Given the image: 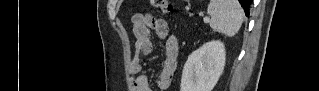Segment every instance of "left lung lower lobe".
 Segmentation results:
<instances>
[{"instance_id":"1","label":"left lung lower lobe","mask_w":319,"mask_h":91,"mask_svg":"<svg viewBox=\"0 0 319 91\" xmlns=\"http://www.w3.org/2000/svg\"><path fill=\"white\" fill-rule=\"evenodd\" d=\"M238 1L242 5V7L244 8L246 16H248L249 15V6H250L252 0H238Z\"/></svg>"}]
</instances>
